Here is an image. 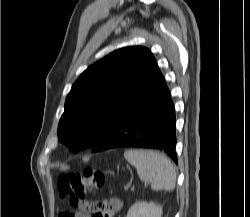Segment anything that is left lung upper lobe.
<instances>
[{
    "label": "left lung upper lobe",
    "instance_id": "left-lung-upper-lobe-1",
    "mask_svg": "<svg viewBox=\"0 0 250 217\" xmlns=\"http://www.w3.org/2000/svg\"><path fill=\"white\" fill-rule=\"evenodd\" d=\"M155 64L148 49L125 47L88 67L67 95L58 140L74 153L93 148Z\"/></svg>",
    "mask_w": 250,
    "mask_h": 217
}]
</instances>
